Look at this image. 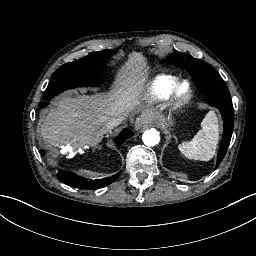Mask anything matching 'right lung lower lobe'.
<instances>
[{
    "label": "right lung lower lobe",
    "instance_id": "98d812e1",
    "mask_svg": "<svg viewBox=\"0 0 256 256\" xmlns=\"http://www.w3.org/2000/svg\"><path fill=\"white\" fill-rule=\"evenodd\" d=\"M132 135H133V132L129 130L122 131L120 135L116 138V144L121 145L124 141H126ZM40 153L44 154V151L40 150ZM119 175H120V172H118L117 174L111 177H106L103 179L88 180L86 178L76 175L73 172L60 170L57 174V177L61 182L67 185H70L72 187L93 190V189L101 188L103 186L113 183L119 177Z\"/></svg>",
    "mask_w": 256,
    "mask_h": 256
}]
</instances>
